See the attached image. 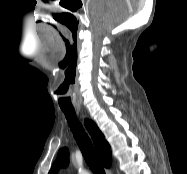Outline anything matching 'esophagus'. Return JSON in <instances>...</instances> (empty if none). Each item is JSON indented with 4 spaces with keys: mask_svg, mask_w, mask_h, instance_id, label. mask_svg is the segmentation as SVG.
Here are the masks:
<instances>
[{
    "mask_svg": "<svg viewBox=\"0 0 187 174\" xmlns=\"http://www.w3.org/2000/svg\"><path fill=\"white\" fill-rule=\"evenodd\" d=\"M78 112H81V110H80V109H78ZM106 173H107V174H112L111 169H106Z\"/></svg>",
    "mask_w": 187,
    "mask_h": 174,
    "instance_id": "34e87169",
    "label": "esophagus"
}]
</instances>
